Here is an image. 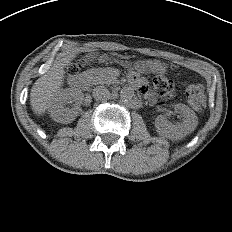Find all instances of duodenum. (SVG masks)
<instances>
[{
    "label": "duodenum",
    "instance_id": "duodenum-1",
    "mask_svg": "<svg viewBox=\"0 0 232 232\" xmlns=\"http://www.w3.org/2000/svg\"><path fill=\"white\" fill-rule=\"evenodd\" d=\"M89 82V79L87 76H80L74 79L73 86L76 89H83Z\"/></svg>",
    "mask_w": 232,
    "mask_h": 232
}]
</instances>
